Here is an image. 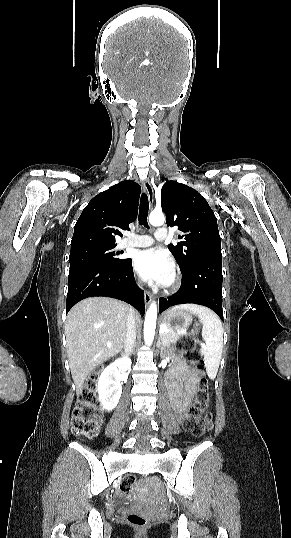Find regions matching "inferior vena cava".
<instances>
[{"instance_id": "602c4592", "label": "inferior vena cava", "mask_w": 291, "mask_h": 538, "mask_svg": "<svg viewBox=\"0 0 291 538\" xmlns=\"http://www.w3.org/2000/svg\"><path fill=\"white\" fill-rule=\"evenodd\" d=\"M136 340V328H135V312L133 308L129 309L126 325V338H125V352L129 355L135 345Z\"/></svg>"}]
</instances>
